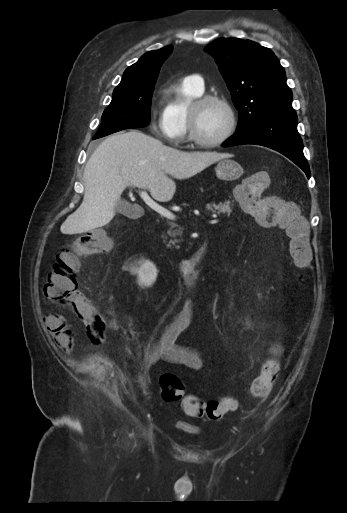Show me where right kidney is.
I'll return each instance as SVG.
<instances>
[{
  "label": "right kidney",
  "instance_id": "right-kidney-1",
  "mask_svg": "<svg viewBox=\"0 0 347 513\" xmlns=\"http://www.w3.org/2000/svg\"><path fill=\"white\" fill-rule=\"evenodd\" d=\"M134 273L138 276L139 285L149 287L155 282L158 271L152 262L143 260L139 267L134 268Z\"/></svg>",
  "mask_w": 347,
  "mask_h": 513
}]
</instances>
